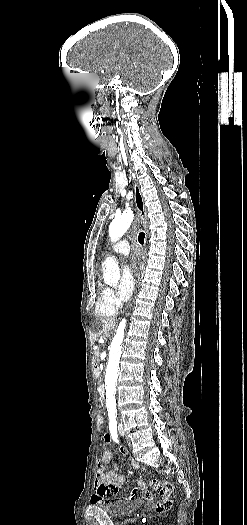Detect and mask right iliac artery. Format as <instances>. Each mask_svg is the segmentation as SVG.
<instances>
[{
	"label": "right iliac artery",
	"instance_id": "right-iliac-artery-1",
	"mask_svg": "<svg viewBox=\"0 0 247 525\" xmlns=\"http://www.w3.org/2000/svg\"><path fill=\"white\" fill-rule=\"evenodd\" d=\"M109 429H110V432H111L112 439L115 442H119L118 434H117V425L115 423H112V424L109 425Z\"/></svg>",
	"mask_w": 247,
	"mask_h": 525
}]
</instances>
